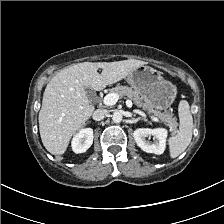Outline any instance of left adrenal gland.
I'll return each mask as SVG.
<instances>
[{
    "label": "left adrenal gland",
    "instance_id": "1",
    "mask_svg": "<svg viewBox=\"0 0 224 224\" xmlns=\"http://www.w3.org/2000/svg\"><path fill=\"white\" fill-rule=\"evenodd\" d=\"M142 120L147 121L145 118H142Z\"/></svg>",
    "mask_w": 224,
    "mask_h": 224
}]
</instances>
